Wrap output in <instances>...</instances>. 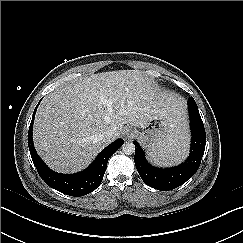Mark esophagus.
Masks as SVG:
<instances>
[{
  "label": "esophagus",
  "mask_w": 243,
  "mask_h": 243,
  "mask_svg": "<svg viewBox=\"0 0 243 243\" xmlns=\"http://www.w3.org/2000/svg\"><path fill=\"white\" fill-rule=\"evenodd\" d=\"M125 137L128 140H131L135 137L136 131L132 127H127L124 131Z\"/></svg>",
  "instance_id": "34e87169"
}]
</instances>
